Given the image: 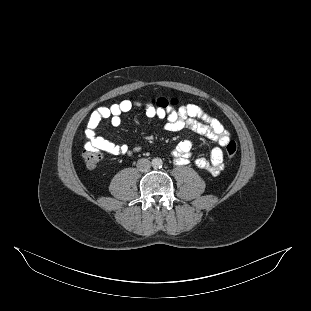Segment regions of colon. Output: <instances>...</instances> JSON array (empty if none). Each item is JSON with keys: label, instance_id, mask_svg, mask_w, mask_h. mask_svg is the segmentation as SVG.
<instances>
[{"label": "colon", "instance_id": "1", "mask_svg": "<svg viewBox=\"0 0 311 311\" xmlns=\"http://www.w3.org/2000/svg\"><path fill=\"white\" fill-rule=\"evenodd\" d=\"M153 103L160 108H168L171 106H175L178 101L175 98L168 99L161 97L154 100ZM225 151L228 158H233L237 152V144L234 141L228 142ZM83 159L86 166L93 169L99 165L102 159V154L99 150L96 149H85L83 151Z\"/></svg>", "mask_w": 311, "mask_h": 311}]
</instances>
